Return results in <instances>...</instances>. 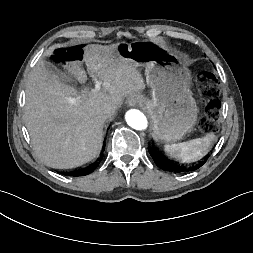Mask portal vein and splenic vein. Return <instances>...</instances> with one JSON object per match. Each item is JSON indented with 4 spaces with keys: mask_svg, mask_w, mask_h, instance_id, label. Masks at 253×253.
Here are the masks:
<instances>
[{
    "mask_svg": "<svg viewBox=\"0 0 253 253\" xmlns=\"http://www.w3.org/2000/svg\"><path fill=\"white\" fill-rule=\"evenodd\" d=\"M90 75H91V77L93 78L94 83H95V88L93 89V92H98V91H100L102 82L99 81L93 74H90Z\"/></svg>",
    "mask_w": 253,
    "mask_h": 253,
    "instance_id": "18ae733b",
    "label": "portal vein and splenic vein"
}]
</instances>
